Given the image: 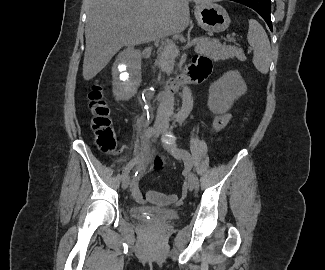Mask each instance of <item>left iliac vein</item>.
Segmentation results:
<instances>
[{
    "label": "left iliac vein",
    "mask_w": 325,
    "mask_h": 270,
    "mask_svg": "<svg viewBox=\"0 0 325 270\" xmlns=\"http://www.w3.org/2000/svg\"><path fill=\"white\" fill-rule=\"evenodd\" d=\"M168 129V126H164L161 133L165 134ZM164 147L177 159L183 160L189 170L188 174V181H187V188L189 191H193L195 188V176L191 171V164L190 161L185 158L181 150L176 144H164Z\"/></svg>",
    "instance_id": "left-iliac-vein-1"
}]
</instances>
